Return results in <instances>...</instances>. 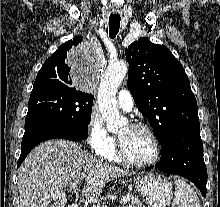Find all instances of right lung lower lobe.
Instances as JSON below:
<instances>
[{
	"label": "right lung lower lobe",
	"instance_id": "right-lung-lower-lobe-1",
	"mask_svg": "<svg viewBox=\"0 0 220 207\" xmlns=\"http://www.w3.org/2000/svg\"><path fill=\"white\" fill-rule=\"evenodd\" d=\"M87 135V129L83 127L51 125V124H34L25 128V133L21 143V155L17 167L21 165L28 153L40 142L49 139H67L80 141Z\"/></svg>",
	"mask_w": 220,
	"mask_h": 207
}]
</instances>
